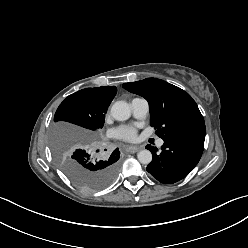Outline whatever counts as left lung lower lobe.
I'll return each instance as SVG.
<instances>
[{"label":"left lung lower lobe","mask_w":248,"mask_h":248,"mask_svg":"<svg viewBox=\"0 0 248 248\" xmlns=\"http://www.w3.org/2000/svg\"><path fill=\"white\" fill-rule=\"evenodd\" d=\"M205 125L183 130L164 141L161 153L147 145L153 159L147 171L158 181L172 184L185 178L197 165L203 153Z\"/></svg>","instance_id":"left-lung-lower-lobe-1"}]
</instances>
